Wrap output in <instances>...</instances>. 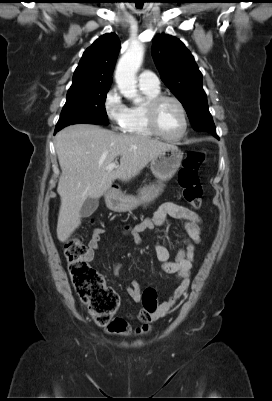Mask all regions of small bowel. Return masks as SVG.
Segmentation results:
<instances>
[{
    "label": "small bowel",
    "mask_w": 272,
    "mask_h": 401,
    "mask_svg": "<svg viewBox=\"0 0 272 401\" xmlns=\"http://www.w3.org/2000/svg\"><path fill=\"white\" fill-rule=\"evenodd\" d=\"M168 218L175 219L183 224L185 237L182 239V246L173 260H170L168 248L161 242L155 244L154 250L162 269L166 273L175 274L180 280V284L173 295L162 302L155 311L147 312L146 310H141L134 317V320L139 322V326L133 328L126 320L115 318L108 326L109 332L114 335L130 337L132 335L146 334L150 329V323L169 313L183 298L189 287L190 271L195 260V246L201 242L202 238V221L196 212L181 204L165 202L155 211L152 218L140 221L135 225L123 226L120 228V232L123 236L129 238L134 245H138L141 242V234L143 232L162 226ZM104 233L105 230L102 228H96L92 232L85 254L87 262L93 261ZM120 269L121 264L116 263L113 268L114 274L119 275ZM126 291L134 302L141 301V287L136 281H132L126 287Z\"/></svg>",
    "instance_id": "small-bowel-1"
}]
</instances>
